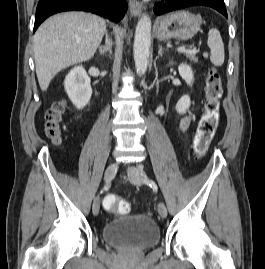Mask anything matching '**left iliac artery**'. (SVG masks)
<instances>
[{"instance_id":"1","label":"left iliac artery","mask_w":265,"mask_h":269,"mask_svg":"<svg viewBox=\"0 0 265 269\" xmlns=\"http://www.w3.org/2000/svg\"><path fill=\"white\" fill-rule=\"evenodd\" d=\"M145 182H146L147 184H149L150 186L155 185V183H154L153 181H151V180H147V179H145Z\"/></svg>"}]
</instances>
